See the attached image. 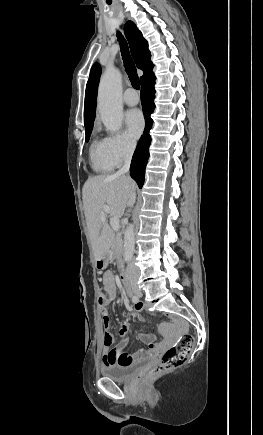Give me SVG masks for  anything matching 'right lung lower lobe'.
<instances>
[{
  "label": "right lung lower lobe",
  "instance_id": "obj_1",
  "mask_svg": "<svg viewBox=\"0 0 263 435\" xmlns=\"http://www.w3.org/2000/svg\"><path fill=\"white\" fill-rule=\"evenodd\" d=\"M155 79V75L152 74L141 82V102L146 124L144 133L141 136L132 157L130 166V175L137 182L139 188H142L144 183L145 167L149 158V146L151 143L149 131L153 124V120L151 119L150 115L155 108Z\"/></svg>",
  "mask_w": 263,
  "mask_h": 435
}]
</instances>
